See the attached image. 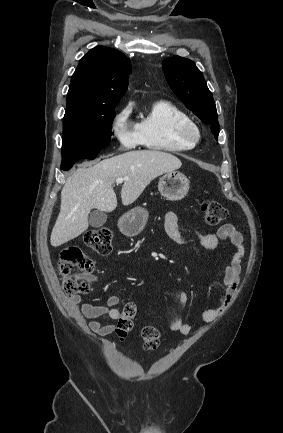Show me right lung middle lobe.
Here are the masks:
<instances>
[{"label":"right lung middle lobe","instance_id":"obj_1","mask_svg":"<svg viewBox=\"0 0 283 433\" xmlns=\"http://www.w3.org/2000/svg\"><path fill=\"white\" fill-rule=\"evenodd\" d=\"M114 105L77 106L66 109L63 119L62 154H98L111 140Z\"/></svg>","mask_w":283,"mask_h":433}]
</instances>
